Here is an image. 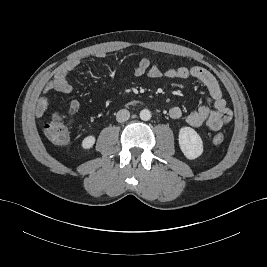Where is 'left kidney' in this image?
Returning <instances> with one entry per match:
<instances>
[{
	"label": "left kidney",
	"mask_w": 267,
	"mask_h": 267,
	"mask_svg": "<svg viewBox=\"0 0 267 267\" xmlns=\"http://www.w3.org/2000/svg\"><path fill=\"white\" fill-rule=\"evenodd\" d=\"M179 146L187 159L193 160L203 153V142L191 127H182L179 131Z\"/></svg>",
	"instance_id": "left-kidney-1"
}]
</instances>
